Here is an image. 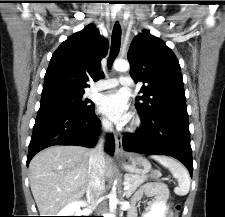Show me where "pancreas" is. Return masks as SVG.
Listing matches in <instances>:
<instances>
[{
  "label": "pancreas",
  "instance_id": "1",
  "mask_svg": "<svg viewBox=\"0 0 225 217\" xmlns=\"http://www.w3.org/2000/svg\"><path fill=\"white\" fill-rule=\"evenodd\" d=\"M156 174L151 175L155 176ZM148 175H137V174H127L125 175V183L129 186V189L125 191V195L127 197L131 196L133 192L141 185L143 184L147 179ZM160 194L162 195L163 198L168 199L169 198V189L167 188L166 185H162L160 188Z\"/></svg>",
  "mask_w": 225,
  "mask_h": 217
}]
</instances>
